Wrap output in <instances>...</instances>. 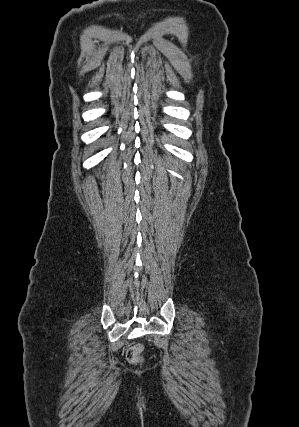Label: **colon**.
Returning <instances> with one entry per match:
<instances>
[{
  "label": "colon",
  "instance_id": "colon-1",
  "mask_svg": "<svg viewBox=\"0 0 299 427\" xmlns=\"http://www.w3.org/2000/svg\"><path fill=\"white\" fill-rule=\"evenodd\" d=\"M143 346L138 344L131 346L126 352V358L129 363L137 365L142 362Z\"/></svg>",
  "mask_w": 299,
  "mask_h": 427
}]
</instances>
